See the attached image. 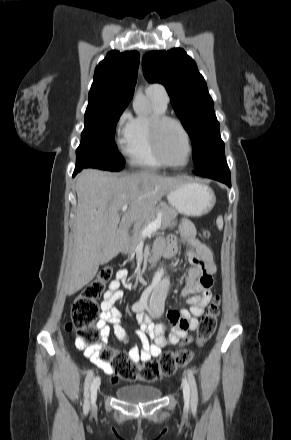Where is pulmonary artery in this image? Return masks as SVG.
Wrapping results in <instances>:
<instances>
[{"label":"pulmonary artery","instance_id":"pulmonary-artery-1","mask_svg":"<svg viewBox=\"0 0 291 440\" xmlns=\"http://www.w3.org/2000/svg\"><path fill=\"white\" fill-rule=\"evenodd\" d=\"M146 93L148 96L153 97L163 105H167L169 101V95L165 87L160 83H153L148 85Z\"/></svg>","mask_w":291,"mask_h":440}]
</instances>
